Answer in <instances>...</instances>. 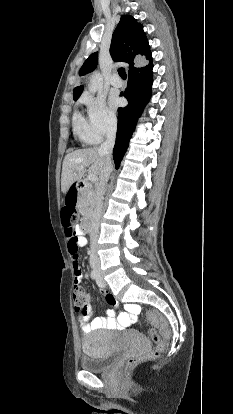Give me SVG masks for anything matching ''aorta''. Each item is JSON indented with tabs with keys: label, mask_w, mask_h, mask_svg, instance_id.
I'll return each instance as SVG.
<instances>
[{
	"label": "aorta",
	"mask_w": 233,
	"mask_h": 414,
	"mask_svg": "<svg viewBox=\"0 0 233 414\" xmlns=\"http://www.w3.org/2000/svg\"><path fill=\"white\" fill-rule=\"evenodd\" d=\"M103 85V78L98 71L93 72L90 82L88 84V90L91 93L97 92Z\"/></svg>",
	"instance_id": "obj_1"
}]
</instances>
